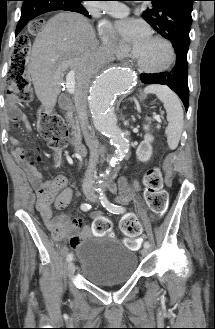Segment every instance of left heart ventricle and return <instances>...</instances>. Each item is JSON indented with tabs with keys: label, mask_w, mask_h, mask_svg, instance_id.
I'll return each instance as SVG.
<instances>
[{
	"label": "left heart ventricle",
	"mask_w": 215,
	"mask_h": 329,
	"mask_svg": "<svg viewBox=\"0 0 215 329\" xmlns=\"http://www.w3.org/2000/svg\"><path fill=\"white\" fill-rule=\"evenodd\" d=\"M139 62L148 68L162 67L169 58V51L164 43L150 39L140 50L135 52Z\"/></svg>",
	"instance_id": "left-heart-ventricle-1"
}]
</instances>
